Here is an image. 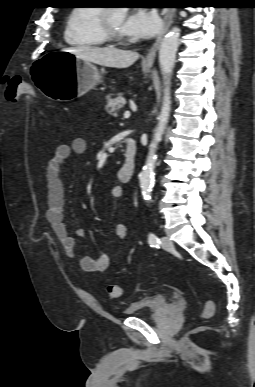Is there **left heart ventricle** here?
I'll list each match as a JSON object with an SVG mask.
<instances>
[{
	"label": "left heart ventricle",
	"instance_id": "1",
	"mask_svg": "<svg viewBox=\"0 0 255 387\" xmlns=\"http://www.w3.org/2000/svg\"><path fill=\"white\" fill-rule=\"evenodd\" d=\"M110 19H111V23H112V26L114 27V29H116L118 32L123 33L122 25H123L124 20H125L124 13L122 11L116 10V9L111 10Z\"/></svg>",
	"mask_w": 255,
	"mask_h": 387
}]
</instances>
